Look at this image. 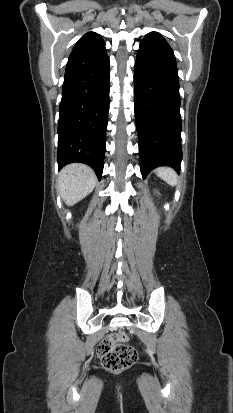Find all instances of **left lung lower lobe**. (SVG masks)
Segmentation results:
<instances>
[{
	"instance_id": "0a47b994",
	"label": "left lung lower lobe",
	"mask_w": 233,
	"mask_h": 413,
	"mask_svg": "<svg viewBox=\"0 0 233 413\" xmlns=\"http://www.w3.org/2000/svg\"><path fill=\"white\" fill-rule=\"evenodd\" d=\"M134 98L142 176L158 166H170L179 173V78L173 50L160 33H148L140 43L134 70Z\"/></svg>"
}]
</instances>
